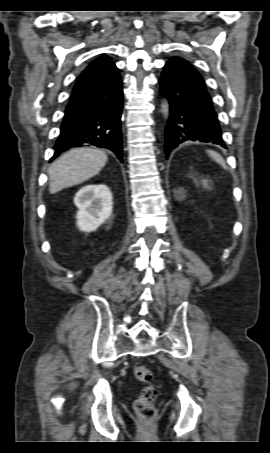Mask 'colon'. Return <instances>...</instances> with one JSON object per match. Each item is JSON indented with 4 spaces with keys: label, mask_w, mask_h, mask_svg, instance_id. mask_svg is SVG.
Returning <instances> with one entry per match:
<instances>
[{
    "label": "colon",
    "mask_w": 270,
    "mask_h": 453,
    "mask_svg": "<svg viewBox=\"0 0 270 453\" xmlns=\"http://www.w3.org/2000/svg\"><path fill=\"white\" fill-rule=\"evenodd\" d=\"M134 376L137 380L146 384L135 402L136 412L142 420L152 421L155 418L153 403L157 397V389L151 383L153 379L152 372L147 366L138 365L134 369Z\"/></svg>",
    "instance_id": "colon-1"
}]
</instances>
